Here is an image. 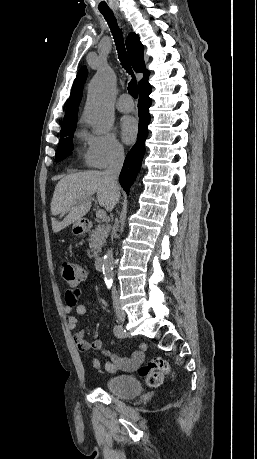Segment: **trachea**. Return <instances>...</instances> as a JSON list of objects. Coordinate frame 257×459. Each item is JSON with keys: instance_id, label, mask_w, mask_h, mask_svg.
Here are the masks:
<instances>
[{"instance_id": "3493384b", "label": "trachea", "mask_w": 257, "mask_h": 459, "mask_svg": "<svg viewBox=\"0 0 257 459\" xmlns=\"http://www.w3.org/2000/svg\"><path fill=\"white\" fill-rule=\"evenodd\" d=\"M101 13L104 16V18L106 19V21H107V23H108V25H109V27L111 29V32H112V35H113V38H114V41H115V44H116V47H117V50H118V57H119V59L121 61L122 67L129 74L132 75V80H131V82L129 83V86H128V92L134 99H136L138 97L137 82L135 80L131 65H130V63L128 61V57H127V53H126V49H125V45H124L122 32L119 29V27L117 26V22H116V19H115L114 15H113L112 11H101Z\"/></svg>"}]
</instances>
